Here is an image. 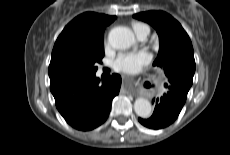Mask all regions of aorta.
I'll use <instances>...</instances> for the list:
<instances>
[{
	"mask_svg": "<svg viewBox=\"0 0 230 155\" xmlns=\"http://www.w3.org/2000/svg\"><path fill=\"white\" fill-rule=\"evenodd\" d=\"M108 41L113 48L124 50L135 43V36L128 27L118 26L110 30ZM134 111L138 116L148 118L152 114L151 103L147 99L139 97L134 102Z\"/></svg>",
	"mask_w": 230,
	"mask_h": 155,
	"instance_id": "1",
	"label": "aorta"
}]
</instances>
